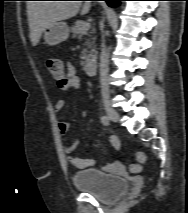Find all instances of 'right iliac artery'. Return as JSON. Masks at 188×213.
<instances>
[{
	"label": "right iliac artery",
	"instance_id": "right-iliac-artery-1",
	"mask_svg": "<svg viewBox=\"0 0 188 213\" xmlns=\"http://www.w3.org/2000/svg\"><path fill=\"white\" fill-rule=\"evenodd\" d=\"M101 122H102L103 125L109 126V124H110V119H109L108 116H102V117H101Z\"/></svg>",
	"mask_w": 188,
	"mask_h": 213
}]
</instances>
